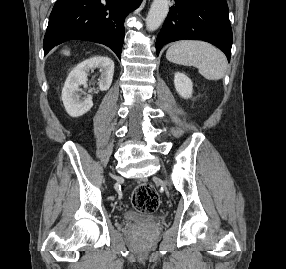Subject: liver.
<instances>
[{"label": "liver", "mask_w": 286, "mask_h": 269, "mask_svg": "<svg viewBox=\"0 0 286 269\" xmlns=\"http://www.w3.org/2000/svg\"><path fill=\"white\" fill-rule=\"evenodd\" d=\"M63 53L65 54V55H70V52L69 51H63Z\"/></svg>", "instance_id": "6515ba94"}]
</instances>
